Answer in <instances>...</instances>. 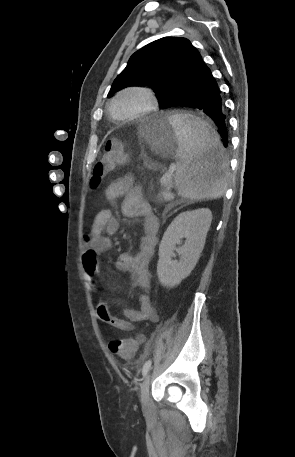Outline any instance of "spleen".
Returning a JSON list of instances; mask_svg holds the SVG:
<instances>
[{
  "mask_svg": "<svg viewBox=\"0 0 295 457\" xmlns=\"http://www.w3.org/2000/svg\"><path fill=\"white\" fill-rule=\"evenodd\" d=\"M169 120L178 140L174 176L178 194L191 200L223 196L227 189L228 164L218 133L189 113L174 114Z\"/></svg>",
  "mask_w": 295,
  "mask_h": 457,
  "instance_id": "3e777b00",
  "label": "spleen"
}]
</instances>
